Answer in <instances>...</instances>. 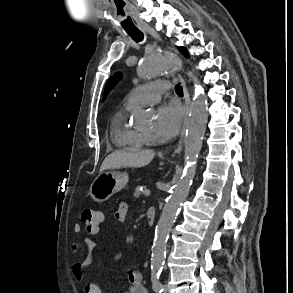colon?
Masks as SVG:
<instances>
[{
    "label": "colon",
    "mask_w": 293,
    "mask_h": 293,
    "mask_svg": "<svg viewBox=\"0 0 293 293\" xmlns=\"http://www.w3.org/2000/svg\"><path fill=\"white\" fill-rule=\"evenodd\" d=\"M81 220L84 224V227L88 230H95L100 226L101 223V212L90 209V208H85L81 212ZM95 293H98V290H94Z\"/></svg>",
    "instance_id": "colon-1"
}]
</instances>
